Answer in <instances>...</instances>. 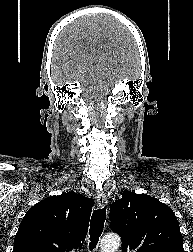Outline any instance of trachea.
Here are the masks:
<instances>
[{
  "label": "trachea",
  "mask_w": 193,
  "mask_h": 252,
  "mask_svg": "<svg viewBox=\"0 0 193 252\" xmlns=\"http://www.w3.org/2000/svg\"><path fill=\"white\" fill-rule=\"evenodd\" d=\"M106 219V209H98L93 212V215L91 217V223H90V244L89 248L93 250L99 241V238L102 234L103 228H104V222Z\"/></svg>",
  "instance_id": "trachea-1"
}]
</instances>
